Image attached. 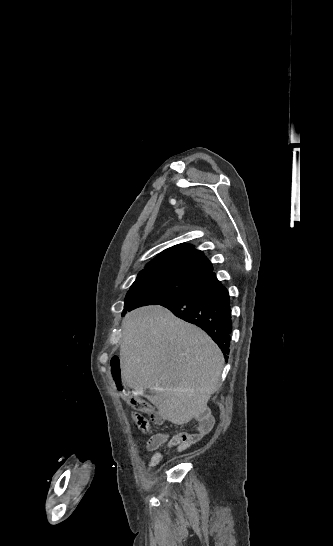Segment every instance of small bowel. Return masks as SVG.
Returning a JSON list of instances; mask_svg holds the SVG:
<instances>
[{"instance_id": "obj_1", "label": "small bowel", "mask_w": 333, "mask_h": 546, "mask_svg": "<svg viewBox=\"0 0 333 546\" xmlns=\"http://www.w3.org/2000/svg\"><path fill=\"white\" fill-rule=\"evenodd\" d=\"M152 420L153 422L160 424L164 422L165 418L159 413H154L152 415ZM212 421V417L210 416L200 417L196 427L197 431L193 434H177L170 437L168 433H159L149 438L144 446L146 451L153 452L148 461V467L152 469L162 460L163 452L158 451L161 446L166 445L167 449L176 447L177 450L183 451L190 445L197 443L211 429Z\"/></svg>"}]
</instances>
